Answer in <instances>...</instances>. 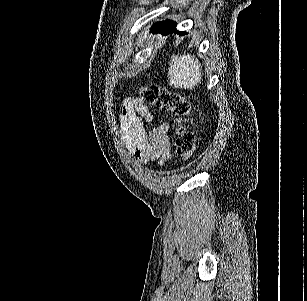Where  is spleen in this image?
Wrapping results in <instances>:
<instances>
[{"instance_id":"obj_1","label":"spleen","mask_w":307,"mask_h":301,"mask_svg":"<svg viewBox=\"0 0 307 301\" xmlns=\"http://www.w3.org/2000/svg\"><path fill=\"white\" fill-rule=\"evenodd\" d=\"M202 64L192 54H173L168 66V84L172 88L193 90L202 80Z\"/></svg>"}]
</instances>
